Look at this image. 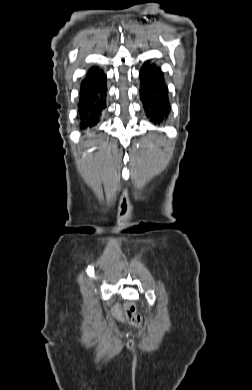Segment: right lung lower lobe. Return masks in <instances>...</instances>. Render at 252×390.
<instances>
[{
  "mask_svg": "<svg viewBox=\"0 0 252 390\" xmlns=\"http://www.w3.org/2000/svg\"><path fill=\"white\" fill-rule=\"evenodd\" d=\"M106 76L102 70L88 72L80 86L78 102L80 127L96 125L106 108Z\"/></svg>",
  "mask_w": 252,
  "mask_h": 390,
  "instance_id": "1",
  "label": "right lung lower lobe"
}]
</instances>
